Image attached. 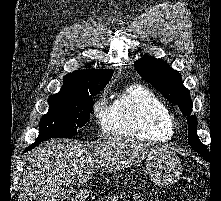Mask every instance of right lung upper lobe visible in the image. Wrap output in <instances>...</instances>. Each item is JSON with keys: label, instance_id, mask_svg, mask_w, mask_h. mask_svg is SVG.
Masks as SVG:
<instances>
[{"label": "right lung upper lobe", "instance_id": "obj_1", "mask_svg": "<svg viewBox=\"0 0 221 201\" xmlns=\"http://www.w3.org/2000/svg\"><path fill=\"white\" fill-rule=\"evenodd\" d=\"M113 75L110 69L77 70L64 76L59 93L66 96H86L102 90Z\"/></svg>", "mask_w": 221, "mask_h": 201}]
</instances>
